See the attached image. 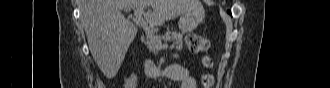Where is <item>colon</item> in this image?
Here are the masks:
<instances>
[{
  "label": "colon",
  "instance_id": "obj_1",
  "mask_svg": "<svg viewBox=\"0 0 330 88\" xmlns=\"http://www.w3.org/2000/svg\"><path fill=\"white\" fill-rule=\"evenodd\" d=\"M186 42H187V46H188L189 50L195 54H198V53L205 54L209 50V47H210L209 40L206 37L197 35V34L189 35L186 39ZM203 64L205 67L211 66V60L206 55L203 57ZM212 83H213V80L210 75H205L203 77L204 87L209 88L212 86Z\"/></svg>",
  "mask_w": 330,
  "mask_h": 88
}]
</instances>
